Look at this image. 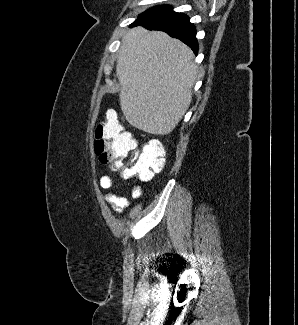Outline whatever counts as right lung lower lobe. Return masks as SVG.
Segmentation results:
<instances>
[{"instance_id": "right-lung-lower-lobe-1", "label": "right lung lower lobe", "mask_w": 298, "mask_h": 325, "mask_svg": "<svg viewBox=\"0 0 298 325\" xmlns=\"http://www.w3.org/2000/svg\"><path fill=\"white\" fill-rule=\"evenodd\" d=\"M133 25H142L149 30L164 31L171 37L180 39L197 54L196 29L189 22V17L183 13L173 12L150 20H136Z\"/></svg>"}]
</instances>
